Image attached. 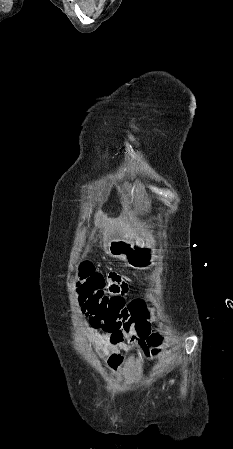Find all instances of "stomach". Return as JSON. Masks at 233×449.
Masks as SVG:
<instances>
[{"label":"stomach","mask_w":233,"mask_h":449,"mask_svg":"<svg viewBox=\"0 0 233 449\" xmlns=\"http://www.w3.org/2000/svg\"><path fill=\"white\" fill-rule=\"evenodd\" d=\"M117 217L125 221L129 216L121 212ZM106 249L110 256L126 260L137 270L150 268L157 259L156 254L149 247H145L141 241L113 240L107 244Z\"/></svg>","instance_id":"0dacf381"}]
</instances>
